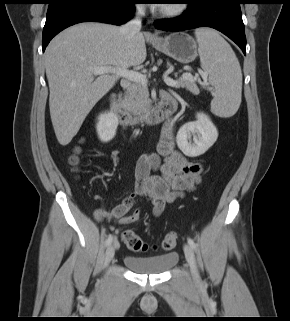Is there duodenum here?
I'll list each match as a JSON object with an SVG mask.
<instances>
[{
    "instance_id": "410a0bca",
    "label": "duodenum",
    "mask_w": 290,
    "mask_h": 321,
    "mask_svg": "<svg viewBox=\"0 0 290 321\" xmlns=\"http://www.w3.org/2000/svg\"><path fill=\"white\" fill-rule=\"evenodd\" d=\"M109 105L112 113L122 124L127 126L158 124L171 116L178 106L177 101L170 94H166L162 96L160 103L154 110L147 113H134L122 106L118 93L111 94Z\"/></svg>"
}]
</instances>
